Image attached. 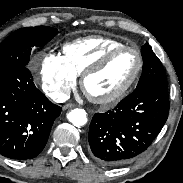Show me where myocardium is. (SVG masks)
Returning a JSON list of instances; mask_svg holds the SVG:
<instances>
[{
	"label": "myocardium",
	"mask_w": 183,
	"mask_h": 183,
	"mask_svg": "<svg viewBox=\"0 0 183 183\" xmlns=\"http://www.w3.org/2000/svg\"><path fill=\"white\" fill-rule=\"evenodd\" d=\"M123 51H132L136 54V56L138 58L137 69H136L134 75L132 76V78L129 80V82L119 91H117L116 93H114L110 96H107V97H96V96L88 94L85 89V84H86L87 79L89 77H91L92 75L102 71L118 53L123 52ZM143 67H144V58L138 48L132 47V46H126V45L118 46V47L112 48L111 50L106 52L102 57H100L94 64L89 66L81 74L80 86H81V89H82L83 93L85 94V96L91 102H93L95 104H100V105H113V104H116L117 102H119L120 100H122L129 93V91L132 89V87L135 85V83L139 79V77L142 73Z\"/></svg>",
	"instance_id": "f54148a6"
}]
</instances>
